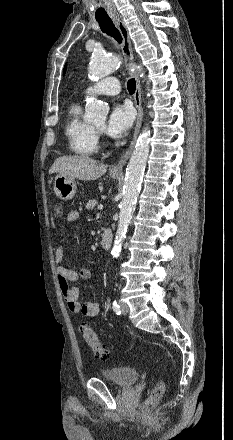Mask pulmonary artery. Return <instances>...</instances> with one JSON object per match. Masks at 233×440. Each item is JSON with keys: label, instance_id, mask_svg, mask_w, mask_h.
<instances>
[{"label": "pulmonary artery", "instance_id": "obj_1", "mask_svg": "<svg viewBox=\"0 0 233 440\" xmlns=\"http://www.w3.org/2000/svg\"><path fill=\"white\" fill-rule=\"evenodd\" d=\"M120 92L119 80L116 77H107L91 87L86 91V95L103 94V95H117Z\"/></svg>", "mask_w": 233, "mask_h": 440}]
</instances>
